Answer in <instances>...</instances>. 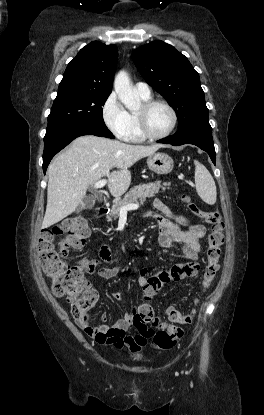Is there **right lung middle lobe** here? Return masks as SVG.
Masks as SVG:
<instances>
[{
  "instance_id": "dd1d6c3e",
  "label": "right lung middle lobe",
  "mask_w": 264,
  "mask_h": 415,
  "mask_svg": "<svg viewBox=\"0 0 264 415\" xmlns=\"http://www.w3.org/2000/svg\"><path fill=\"white\" fill-rule=\"evenodd\" d=\"M110 94L57 95L48 116L44 140L80 126H106L103 108Z\"/></svg>"
}]
</instances>
